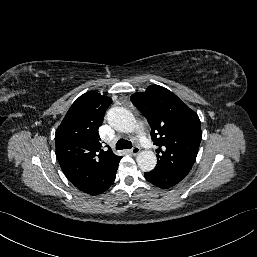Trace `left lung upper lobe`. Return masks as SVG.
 <instances>
[{
    "mask_svg": "<svg viewBox=\"0 0 257 257\" xmlns=\"http://www.w3.org/2000/svg\"><path fill=\"white\" fill-rule=\"evenodd\" d=\"M131 101L146 117L151 138L158 146L155 168L183 179L195 162L202 138L198 115L158 85L134 93Z\"/></svg>",
    "mask_w": 257,
    "mask_h": 257,
    "instance_id": "left-lung-upper-lobe-1",
    "label": "left lung upper lobe"
}]
</instances>
